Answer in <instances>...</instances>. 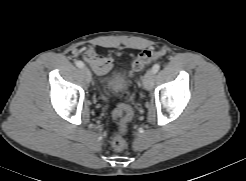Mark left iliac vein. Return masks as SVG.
Instances as JSON below:
<instances>
[{
	"label": "left iliac vein",
	"instance_id": "1",
	"mask_svg": "<svg viewBox=\"0 0 246 181\" xmlns=\"http://www.w3.org/2000/svg\"><path fill=\"white\" fill-rule=\"evenodd\" d=\"M155 73L152 70H148L143 77L142 83L146 90H149L153 86Z\"/></svg>",
	"mask_w": 246,
	"mask_h": 181
}]
</instances>
